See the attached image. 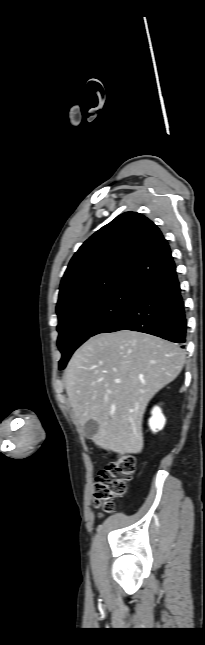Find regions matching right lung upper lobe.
Returning <instances> with one entry per match:
<instances>
[{
  "mask_svg": "<svg viewBox=\"0 0 205 645\" xmlns=\"http://www.w3.org/2000/svg\"><path fill=\"white\" fill-rule=\"evenodd\" d=\"M174 264L159 228L142 214L123 213L94 233L75 253L61 281L56 311L122 284L141 285Z\"/></svg>",
  "mask_w": 205,
  "mask_h": 645,
  "instance_id": "right-lung-upper-lobe-1",
  "label": "right lung upper lobe"
}]
</instances>
